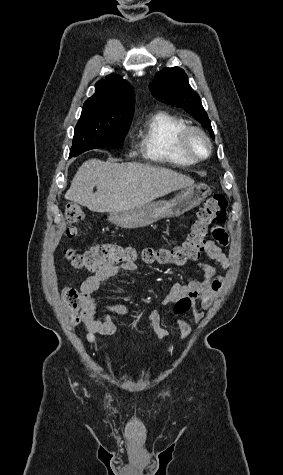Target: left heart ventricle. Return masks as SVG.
Here are the masks:
<instances>
[{"label":"left heart ventricle","instance_id":"1","mask_svg":"<svg viewBox=\"0 0 283 475\" xmlns=\"http://www.w3.org/2000/svg\"><path fill=\"white\" fill-rule=\"evenodd\" d=\"M190 149L197 154H204L207 150V146L205 141L198 135L194 134L191 136L189 142ZM168 151L172 154L175 153V149L173 147H169Z\"/></svg>","mask_w":283,"mask_h":475}]
</instances>
